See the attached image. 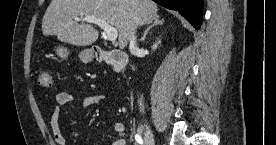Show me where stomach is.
I'll use <instances>...</instances> for the list:
<instances>
[{"instance_id":"obj_1","label":"stomach","mask_w":276,"mask_h":145,"mask_svg":"<svg viewBox=\"0 0 276 145\" xmlns=\"http://www.w3.org/2000/svg\"><path fill=\"white\" fill-rule=\"evenodd\" d=\"M56 53L59 57L66 59L69 52L66 48L59 46L56 48ZM80 59L87 63L94 58V51L92 49H85L79 54Z\"/></svg>"}]
</instances>
